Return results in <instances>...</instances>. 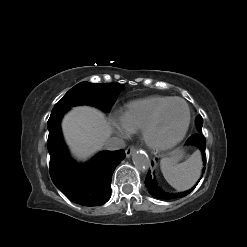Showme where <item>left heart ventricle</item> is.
<instances>
[{"mask_svg": "<svg viewBox=\"0 0 247 247\" xmlns=\"http://www.w3.org/2000/svg\"><path fill=\"white\" fill-rule=\"evenodd\" d=\"M187 119V110L182 102L171 103L161 114L152 135L156 140H169L183 129Z\"/></svg>", "mask_w": 247, "mask_h": 247, "instance_id": "1", "label": "left heart ventricle"}]
</instances>
